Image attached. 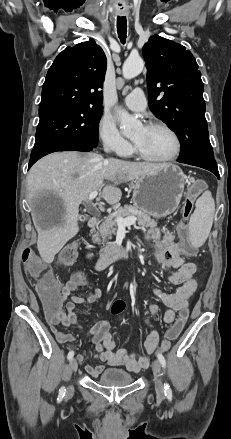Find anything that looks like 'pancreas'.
<instances>
[{
    "instance_id": "1",
    "label": "pancreas",
    "mask_w": 231,
    "mask_h": 439,
    "mask_svg": "<svg viewBox=\"0 0 231 439\" xmlns=\"http://www.w3.org/2000/svg\"><path fill=\"white\" fill-rule=\"evenodd\" d=\"M129 216H135L137 219V224L142 228H153L157 226V222L154 219H151L148 214L139 211L134 206L125 205L124 207H119L115 209L113 213L104 218L100 227L92 235L93 242L100 243V238H102L104 248L101 249L100 256H105L110 252L111 249L116 248L115 243H105L107 239L111 238V236L117 230L118 224L116 219L118 217L126 218Z\"/></svg>"
}]
</instances>
